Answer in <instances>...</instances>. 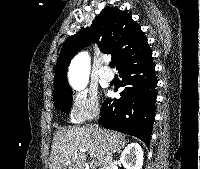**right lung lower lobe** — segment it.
Listing matches in <instances>:
<instances>
[{"label":"right lung lower lobe","instance_id":"right-lung-lower-lobe-1","mask_svg":"<svg viewBox=\"0 0 200 169\" xmlns=\"http://www.w3.org/2000/svg\"><path fill=\"white\" fill-rule=\"evenodd\" d=\"M123 79L120 99L107 98L99 123L105 128L136 136L149 146L155 116L157 79L152 52L119 70Z\"/></svg>","mask_w":200,"mask_h":169}]
</instances>
